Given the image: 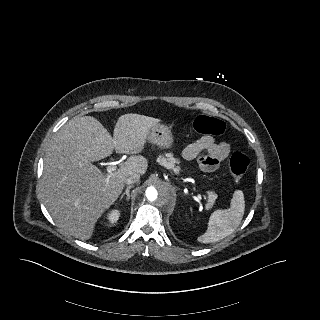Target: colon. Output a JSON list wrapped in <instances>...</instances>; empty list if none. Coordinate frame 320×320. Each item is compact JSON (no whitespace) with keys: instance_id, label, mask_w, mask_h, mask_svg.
Listing matches in <instances>:
<instances>
[{"instance_id":"1","label":"colon","mask_w":320,"mask_h":320,"mask_svg":"<svg viewBox=\"0 0 320 320\" xmlns=\"http://www.w3.org/2000/svg\"><path fill=\"white\" fill-rule=\"evenodd\" d=\"M193 128L199 133L217 136L224 132L225 124L217 117L200 115L193 120ZM228 165L234 180L240 181L249 167V159L241 152H234Z\"/></svg>"}]
</instances>
